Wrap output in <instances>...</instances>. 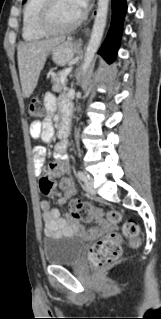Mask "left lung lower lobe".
Listing matches in <instances>:
<instances>
[{"label":"left lung lower lobe","mask_w":161,"mask_h":319,"mask_svg":"<svg viewBox=\"0 0 161 319\" xmlns=\"http://www.w3.org/2000/svg\"><path fill=\"white\" fill-rule=\"evenodd\" d=\"M126 0H112V22L106 40L99 50V54L108 62L112 63L119 49L123 21L126 14Z\"/></svg>","instance_id":"1"}]
</instances>
